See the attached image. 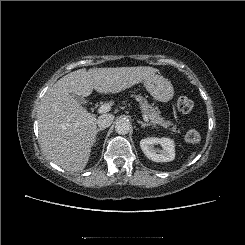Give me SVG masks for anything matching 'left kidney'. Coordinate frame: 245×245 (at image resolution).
<instances>
[{
  "mask_svg": "<svg viewBox=\"0 0 245 245\" xmlns=\"http://www.w3.org/2000/svg\"><path fill=\"white\" fill-rule=\"evenodd\" d=\"M160 145L162 150H157L154 145ZM140 147L146 157L155 162H170L175 158L174 141L163 137H148L140 141Z\"/></svg>",
  "mask_w": 245,
  "mask_h": 245,
  "instance_id": "left-kidney-1",
  "label": "left kidney"
}]
</instances>
